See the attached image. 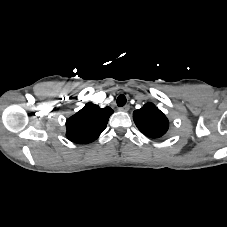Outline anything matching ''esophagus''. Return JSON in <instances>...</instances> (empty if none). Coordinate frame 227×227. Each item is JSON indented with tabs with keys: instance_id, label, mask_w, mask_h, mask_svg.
Segmentation results:
<instances>
[{
	"instance_id": "esophagus-1",
	"label": "esophagus",
	"mask_w": 227,
	"mask_h": 227,
	"mask_svg": "<svg viewBox=\"0 0 227 227\" xmlns=\"http://www.w3.org/2000/svg\"><path fill=\"white\" fill-rule=\"evenodd\" d=\"M119 110L122 111V112H127L129 110V105H126L124 107H120Z\"/></svg>"
}]
</instances>
